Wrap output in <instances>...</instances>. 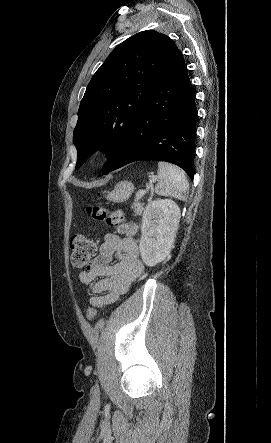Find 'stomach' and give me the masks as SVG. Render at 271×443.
I'll list each match as a JSON object with an SVG mask.
<instances>
[{
    "instance_id": "1",
    "label": "stomach",
    "mask_w": 271,
    "mask_h": 443,
    "mask_svg": "<svg viewBox=\"0 0 271 443\" xmlns=\"http://www.w3.org/2000/svg\"><path fill=\"white\" fill-rule=\"evenodd\" d=\"M135 188L131 182H119L116 184L112 192H107V200L109 202H116V204H121V202H126L132 196Z\"/></svg>"
}]
</instances>
